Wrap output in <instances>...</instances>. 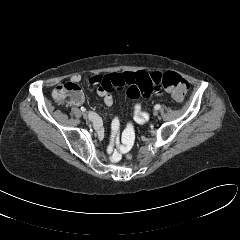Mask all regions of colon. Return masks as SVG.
I'll return each instance as SVG.
<instances>
[{"label": "colon", "mask_w": 240, "mask_h": 240, "mask_svg": "<svg viewBox=\"0 0 240 240\" xmlns=\"http://www.w3.org/2000/svg\"><path fill=\"white\" fill-rule=\"evenodd\" d=\"M152 79L157 85L163 87L167 92H169L176 100L183 99L189 89L188 82L175 72H155L152 74ZM82 96L81 87L74 82L61 84L53 91V98L58 103L72 102ZM132 142L133 134L125 133L123 136V149L126 152L127 157L131 156L129 150L132 146Z\"/></svg>", "instance_id": "obj_1"}]
</instances>
